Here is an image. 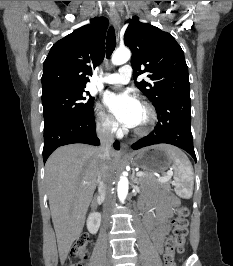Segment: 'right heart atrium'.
<instances>
[{
    "instance_id": "right-heart-atrium-1",
    "label": "right heart atrium",
    "mask_w": 233,
    "mask_h": 266,
    "mask_svg": "<svg viewBox=\"0 0 233 266\" xmlns=\"http://www.w3.org/2000/svg\"><path fill=\"white\" fill-rule=\"evenodd\" d=\"M96 124L98 130L104 134H115L118 132V124L101 105H98L96 111Z\"/></svg>"
}]
</instances>
